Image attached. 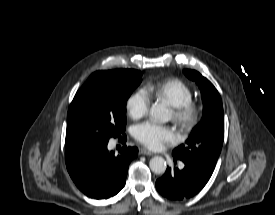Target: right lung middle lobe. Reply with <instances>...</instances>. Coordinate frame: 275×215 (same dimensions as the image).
<instances>
[{"instance_id": "dd1d6c3e", "label": "right lung middle lobe", "mask_w": 275, "mask_h": 215, "mask_svg": "<svg viewBox=\"0 0 275 215\" xmlns=\"http://www.w3.org/2000/svg\"><path fill=\"white\" fill-rule=\"evenodd\" d=\"M132 69L97 71L77 91L67 114L65 143L108 141L125 130L126 101L140 84Z\"/></svg>"}]
</instances>
